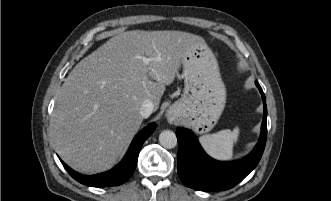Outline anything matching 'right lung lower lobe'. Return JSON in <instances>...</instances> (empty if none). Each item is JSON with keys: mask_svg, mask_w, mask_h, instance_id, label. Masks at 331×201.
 I'll return each instance as SVG.
<instances>
[{"mask_svg": "<svg viewBox=\"0 0 331 201\" xmlns=\"http://www.w3.org/2000/svg\"><path fill=\"white\" fill-rule=\"evenodd\" d=\"M156 128V124H150L144 128L137 136L134 138L131 146L124 157V159L110 171L96 174V175H81L73 171L68 167L62 160L64 168L67 172L78 182L92 187H106V186H117L126 182L133 174L136 164L138 161L139 152L144 141L153 133Z\"/></svg>", "mask_w": 331, "mask_h": 201, "instance_id": "obj_1", "label": "right lung lower lobe"}]
</instances>
